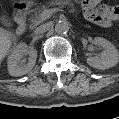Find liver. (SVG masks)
<instances>
[{
    "mask_svg": "<svg viewBox=\"0 0 119 119\" xmlns=\"http://www.w3.org/2000/svg\"><path fill=\"white\" fill-rule=\"evenodd\" d=\"M12 44V35L3 28H0V64L2 60L9 54Z\"/></svg>",
    "mask_w": 119,
    "mask_h": 119,
    "instance_id": "6515ba94",
    "label": "liver"
}]
</instances>
